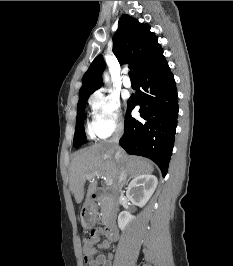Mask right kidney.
<instances>
[{
  "label": "right kidney",
  "instance_id": "obj_1",
  "mask_svg": "<svg viewBox=\"0 0 233 266\" xmlns=\"http://www.w3.org/2000/svg\"><path fill=\"white\" fill-rule=\"evenodd\" d=\"M158 184L154 175L143 174L134 178L127 188V197L139 207H143L153 195ZM135 217L127 211L118 216V226L123 231Z\"/></svg>",
  "mask_w": 233,
  "mask_h": 266
}]
</instances>
